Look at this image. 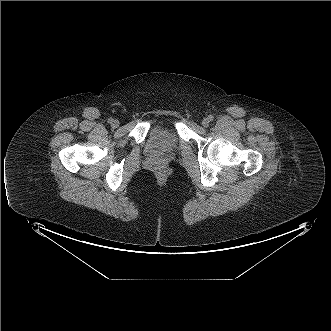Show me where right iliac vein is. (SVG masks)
I'll return each instance as SVG.
<instances>
[{
  "label": "right iliac vein",
  "instance_id": "obj_1",
  "mask_svg": "<svg viewBox=\"0 0 331 331\" xmlns=\"http://www.w3.org/2000/svg\"><path fill=\"white\" fill-rule=\"evenodd\" d=\"M119 121L118 120H113V122L111 123V126L113 127V128H117L118 126H119Z\"/></svg>",
  "mask_w": 331,
  "mask_h": 331
}]
</instances>
